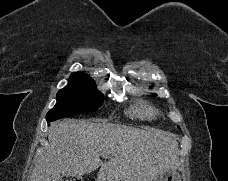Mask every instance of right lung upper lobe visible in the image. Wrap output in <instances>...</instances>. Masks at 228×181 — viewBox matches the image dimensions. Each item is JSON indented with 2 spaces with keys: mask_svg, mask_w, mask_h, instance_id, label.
I'll return each instance as SVG.
<instances>
[{
  "mask_svg": "<svg viewBox=\"0 0 228 181\" xmlns=\"http://www.w3.org/2000/svg\"><path fill=\"white\" fill-rule=\"evenodd\" d=\"M95 83L91 77H89L84 72L73 73L69 78V83L67 86H78Z\"/></svg>",
  "mask_w": 228,
  "mask_h": 181,
  "instance_id": "obj_1",
  "label": "right lung upper lobe"
}]
</instances>
